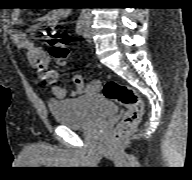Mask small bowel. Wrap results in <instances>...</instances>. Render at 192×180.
Here are the masks:
<instances>
[{
	"instance_id": "1",
	"label": "small bowel",
	"mask_w": 192,
	"mask_h": 180,
	"mask_svg": "<svg viewBox=\"0 0 192 180\" xmlns=\"http://www.w3.org/2000/svg\"><path fill=\"white\" fill-rule=\"evenodd\" d=\"M70 14V10L65 7H59L50 10L43 17L41 21L48 25H56L60 21L66 19ZM11 22L15 25L20 24V13L14 11L11 15ZM11 37L13 42L20 48L29 52L30 59L35 66L39 79L45 83L51 90L52 94L58 99H65L68 96L76 97L86 93L96 92L99 88V82L95 81L86 86L84 79L81 75H77L74 78V88L68 93L65 89L56 85L57 73L51 67L49 58L44 54L43 50L33 45L28 39L27 35L18 30L11 31Z\"/></svg>"
}]
</instances>
